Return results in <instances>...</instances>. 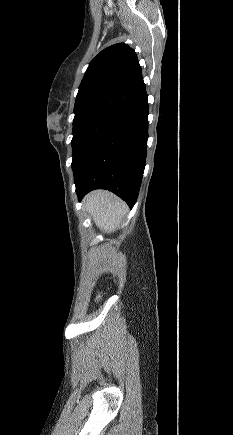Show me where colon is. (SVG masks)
I'll return each mask as SVG.
<instances>
[{
  "instance_id": "5ec220e1",
  "label": "colon",
  "mask_w": 233,
  "mask_h": 435,
  "mask_svg": "<svg viewBox=\"0 0 233 435\" xmlns=\"http://www.w3.org/2000/svg\"><path fill=\"white\" fill-rule=\"evenodd\" d=\"M99 301H100V295L96 294V296H95V302H99Z\"/></svg>"
}]
</instances>
